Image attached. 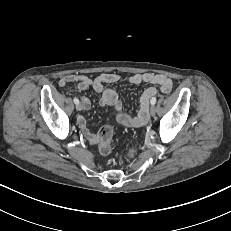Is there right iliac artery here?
<instances>
[{
  "label": "right iliac artery",
  "mask_w": 231,
  "mask_h": 231,
  "mask_svg": "<svg viewBox=\"0 0 231 231\" xmlns=\"http://www.w3.org/2000/svg\"><path fill=\"white\" fill-rule=\"evenodd\" d=\"M73 101H74L75 104H78V103H79V100H78L77 98H74Z\"/></svg>",
  "instance_id": "82829eb1"
}]
</instances>
